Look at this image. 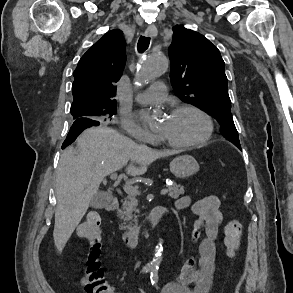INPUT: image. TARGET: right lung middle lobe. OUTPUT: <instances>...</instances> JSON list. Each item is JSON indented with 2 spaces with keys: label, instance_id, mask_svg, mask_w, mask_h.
Returning <instances> with one entry per match:
<instances>
[{
  "label": "right lung middle lobe",
  "instance_id": "dd1d6c3e",
  "mask_svg": "<svg viewBox=\"0 0 293 293\" xmlns=\"http://www.w3.org/2000/svg\"><path fill=\"white\" fill-rule=\"evenodd\" d=\"M73 119H78L82 117L93 116L95 120L108 121L115 114V105H108L97 109L87 110V111H76L71 110Z\"/></svg>",
  "mask_w": 293,
  "mask_h": 293
}]
</instances>
